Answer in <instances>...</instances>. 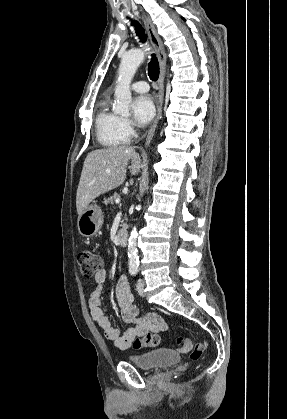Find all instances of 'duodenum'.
<instances>
[{
  "instance_id": "410a0bca",
  "label": "duodenum",
  "mask_w": 287,
  "mask_h": 419,
  "mask_svg": "<svg viewBox=\"0 0 287 419\" xmlns=\"http://www.w3.org/2000/svg\"><path fill=\"white\" fill-rule=\"evenodd\" d=\"M128 239L129 234L125 230H119L115 237L116 243L121 247H124L128 244Z\"/></svg>"
}]
</instances>
